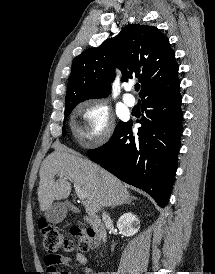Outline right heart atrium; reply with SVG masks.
I'll return each mask as SVG.
<instances>
[{"mask_svg": "<svg viewBox=\"0 0 215 274\" xmlns=\"http://www.w3.org/2000/svg\"><path fill=\"white\" fill-rule=\"evenodd\" d=\"M82 123L77 131L80 143L86 147L104 144L113 130L112 116L107 106L98 100H88L81 104Z\"/></svg>", "mask_w": 215, "mask_h": 274, "instance_id": "d8ad5b80", "label": "right heart atrium"}]
</instances>
